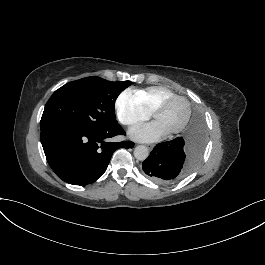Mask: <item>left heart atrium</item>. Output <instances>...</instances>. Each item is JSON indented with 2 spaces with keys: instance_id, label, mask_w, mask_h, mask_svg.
Here are the masks:
<instances>
[{
  "instance_id": "39dd6f15",
  "label": "left heart atrium",
  "mask_w": 265,
  "mask_h": 265,
  "mask_svg": "<svg viewBox=\"0 0 265 265\" xmlns=\"http://www.w3.org/2000/svg\"><path fill=\"white\" fill-rule=\"evenodd\" d=\"M166 134V131L156 122L144 124L132 129L129 136L140 141H153Z\"/></svg>"
}]
</instances>
